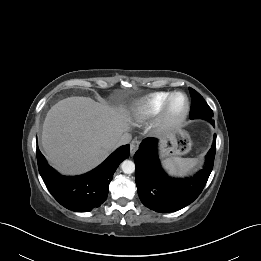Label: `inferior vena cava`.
Instances as JSON below:
<instances>
[{"mask_svg": "<svg viewBox=\"0 0 261 261\" xmlns=\"http://www.w3.org/2000/svg\"><path fill=\"white\" fill-rule=\"evenodd\" d=\"M131 141V134L125 132L118 140V145H124Z\"/></svg>", "mask_w": 261, "mask_h": 261, "instance_id": "1", "label": "inferior vena cava"}]
</instances>
